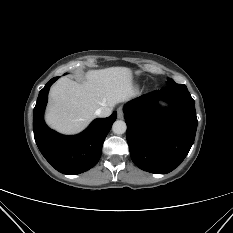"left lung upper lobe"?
<instances>
[{
	"instance_id": "left-lung-upper-lobe-1",
	"label": "left lung upper lobe",
	"mask_w": 233,
	"mask_h": 233,
	"mask_svg": "<svg viewBox=\"0 0 233 233\" xmlns=\"http://www.w3.org/2000/svg\"><path fill=\"white\" fill-rule=\"evenodd\" d=\"M167 83H168V85H172L175 82L171 78H167Z\"/></svg>"
}]
</instances>
